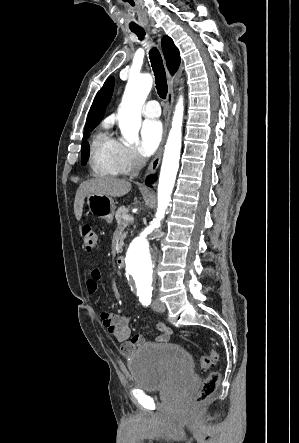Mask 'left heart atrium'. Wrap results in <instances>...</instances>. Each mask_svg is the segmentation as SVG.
Here are the masks:
<instances>
[{
	"instance_id": "39dd6f15",
	"label": "left heart atrium",
	"mask_w": 299,
	"mask_h": 443,
	"mask_svg": "<svg viewBox=\"0 0 299 443\" xmlns=\"http://www.w3.org/2000/svg\"><path fill=\"white\" fill-rule=\"evenodd\" d=\"M163 134L159 120H146L140 130V151L145 156L152 155L157 149Z\"/></svg>"
}]
</instances>
